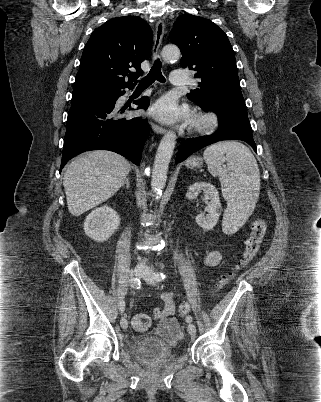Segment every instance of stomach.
I'll return each instance as SVG.
<instances>
[{
    "mask_svg": "<svg viewBox=\"0 0 321 402\" xmlns=\"http://www.w3.org/2000/svg\"><path fill=\"white\" fill-rule=\"evenodd\" d=\"M187 165L191 168H199L202 165V159L199 157H192L188 160Z\"/></svg>",
    "mask_w": 321,
    "mask_h": 402,
    "instance_id": "obj_1",
    "label": "stomach"
}]
</instances>
